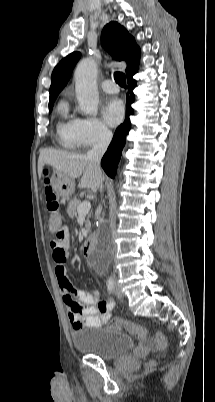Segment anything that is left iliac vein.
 Segmentation results:
<instances>
[{
	"label": "left iliac vein",
	"instance_id": "1",
	"mask_svg": "<svg viewBox=\"0 0 215 402\" xmlns=\"http://www.w3.org/2000/svg\"><path fill=\"white\" fill-rule=\"evenodd\" d=\"M115 293H116L117 297H121V294H120V291H119V288L117 285L115 286Z\"/></svg>",
	"mask_w": 215,
	"mask_h": 402
}]
</instances>
